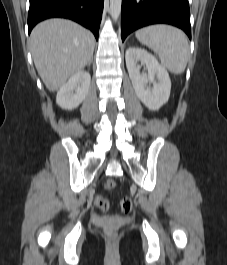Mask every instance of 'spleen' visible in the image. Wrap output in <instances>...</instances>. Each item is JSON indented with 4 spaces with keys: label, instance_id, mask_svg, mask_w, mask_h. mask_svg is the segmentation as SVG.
I'll return each instance as SVG.
<instances>
[{
    "label": "spleen",
    "instance_id": "obj_1",
    "mask_svg": "<svg viewBox=\"0 0 227 265\" xmlns=\"http://www.w3.org/2000/svg\"><path fill=\"white\" fill-rule=\"evenodd\" d=\"M136 38L158 54L161 63L173 74H182L190 50L185 33L170 25H151L136 32Z\"/></svg>",
    "mask_w": 227,
    "mask_h": 265
}]
</instances>
